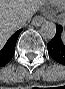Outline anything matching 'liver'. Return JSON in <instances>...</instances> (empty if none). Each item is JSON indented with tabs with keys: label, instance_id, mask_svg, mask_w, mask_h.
<instances>
[{
	"label": "liver",
	"instance_id": "liver-1",
	"mask_svg": "<svg viewBox=\"0 0 65 89\" xmlns=\"http://www.w3.org/2000/svg\"><path fill=\"white\" fill-rule=\"evenodd\" d=\"M39 5L37 0H0V44L3 45L19 29L17 20L32 17Z\"/></svg>",
	"mask_w": 65,
	"mask_h": 89
}]
</instances>
